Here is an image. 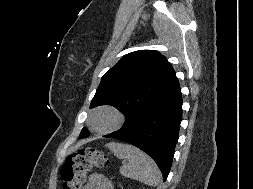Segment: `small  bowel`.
<instances>
[{
  "label": "small bowel",
  "instance_id": "1",
  "mask_svg": "<svg viewBox=\"0 0 253 189\" xmlns=\"http://www.w3.org/2000/svg\"><path fill=\"white\" fill-rule=\"evenodd\" d=\"M85 189H113L112 182L102 173H92Z\"/></svg>",
  "mask_w": 253,
  "mask_h": 189
}]
</instances>
